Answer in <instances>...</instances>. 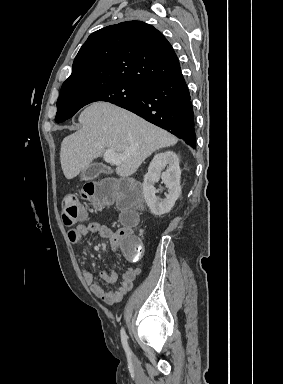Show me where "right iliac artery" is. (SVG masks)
I'll return each instance as SVG.
<instances>
[{
	"label": "right iliac artery",
	"instance_id": "obj_1",
	"mask_svg": "<svg viewBox=\"0 0 283 384\" xmlns=\"http://www.w3.org/2000/svg\"><path fill=\"white\" fill-rule=\"evenodd\" d=\"M121 342H122L123 348H124L127 356H131V350H130L128 342H127V335L125 333L124 328L121 329Z\"/></svg>",
	"mask_w": 283,
	"mask_h": 384
}]
</instances>
